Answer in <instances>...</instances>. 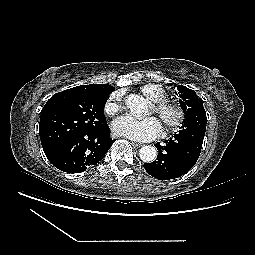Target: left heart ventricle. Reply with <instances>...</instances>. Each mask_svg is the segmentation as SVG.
Segmentation results:
<instances>
[{
  "label": "left heart ventricle",
  "mask_w": 255,
  "mask_h": 255,
  "mask_svg": "<svg viewBox=\"0 0 255 255\" xmlns=\"http://www.w3.org/2000/svg\"><path fill=\"white\" fill-rule=\"evenodd\" d=\"M152 112H153V108L150 109V113H152Z\"/></svg>",
  "instance_id": "left-heart-ventricle-1"
}]
</instances>
